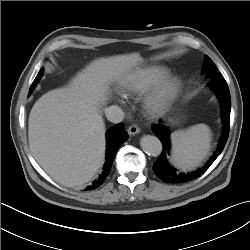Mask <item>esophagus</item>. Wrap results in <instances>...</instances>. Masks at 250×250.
<instances>
[{
  "mask_svg": "<svg viewBox=\"0 0 250 250\" xmlns=\"http://www.w3.org/2000/svg\"><path fill=\"white\" fill-rule=\"evenodd\" d=\"M127 132L129 135L133 136V135H136L140 132V128L137 125L133 124V125L128 127Z\"/></svg>",
  "mask_w": 250,
  "mask_h": 250,
  "instance_id": "34e87169",
  "label": "esophagus"
}]
</instances>
